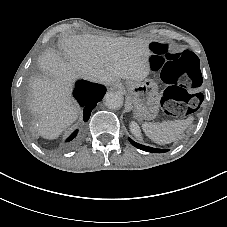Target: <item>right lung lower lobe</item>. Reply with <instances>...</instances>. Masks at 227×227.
<instances>
[{
  "instance_id": "1",
  "label": "right lung lower lobe",
  "mask_w": 227,
  "mask_h": 227,
  "mask_svg": "<svg viewBox=\"0 0 227 227\" xmlns=\"http://www.w3.org/2000/svg\"><path fill=\"white\" fill-rule=\"evenodd\" d=\"M106 88L102 85L91 83L88 81H78L74 96L79 104L84 108V120L87 121L90 117L91 111L96 107L97 103L101 101ZM77 130L67 139L66 142L73 140L77 135Z\"/></svg>"
}]
</instances>
